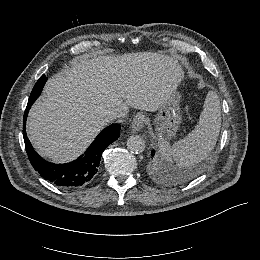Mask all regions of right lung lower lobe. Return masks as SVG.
Returning a JSON list of instances; mask_svg holds the SVG:
<instances>
[{
	"label": "right lung lower lobe",
	"instance_id": "98d812e1",
	"mask_svg": "<svg viewBox=\"0 0 260 260\" xmlns=\"http://www.w3.org/2000/svg\"><path fill=\"white\" fill-rule=\"evenodd\" d=\"M47 81L45 75H42L35 84L28 100L25 115L23 118V137L25 142L28 158L34 169L49 182L64 188L74 189L88 184L92 181L98 171L102 152L113 141L117 140L120 133V125L114 124L103 129L95 138L90 147L73 162L66 164H54L45 161L33 149L26 135V118L28 111L37 97L40 95L42 88Z\"/></svg>",
	"mask_w": 260,
	"mask_h": 260
}]
</instances>
